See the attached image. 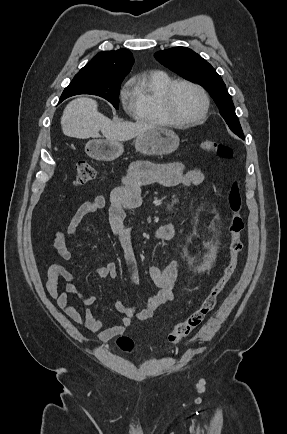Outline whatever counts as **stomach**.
<instances>
[{
	"label": "stomach",
	"mask_w": 287,
	"mask_h": 434,
	"mask_svg": "<svg viewBox=\"0 0 287 434\" xmlns=\"http://www.w3.org/2000/svg\"><path fill=\"white\" fill-rule=\"evenodd\" d=\"M179 137L172 130L155 127L136 137V151L144 155H165L174 152L179 146ZM87 154L99 161H112L123 153L119 141L91 140L86 144Z\"/></svg>",
	"instance_id": "0dacf381"
}]
</instances>
